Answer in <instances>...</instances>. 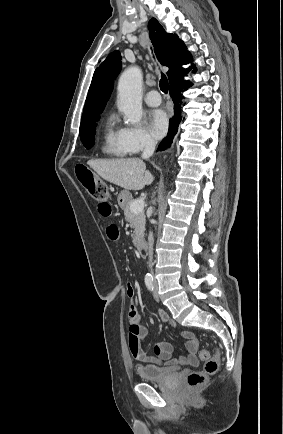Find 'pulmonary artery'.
Masks as SVG:
<instances>
[{
    "label": "pulmonary artery",
    "instance_id": "pulmonary-artery-1",
    "mask_svg": "<svg viewBox=\"0 0 283 434\" xmlns=\"http://www.w3.org/2000/svg\"><path fill=\"white\" fill-rule=\"evenodd\" d=\"M144 101L147 105L156 107L161 104V97L157 91L152 90L145 95Z\"/></svg>",
    "mask_w": 283,
    "mask_h": 434
}]
</instances>
